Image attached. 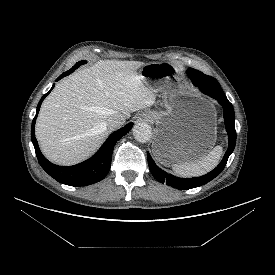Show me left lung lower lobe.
<instances>
[{
    "label": "left lung lower lobe",
    "mask_w": 275,
    "mask_h": 275,
    "mask_svg": "<svg viewBox=\"0 0 275 275\" xmlns=\"http://www.w3.org/2000/svg\"><path fill=\"white\" fill-rule=\"evenodd\" d=\"M193 84L204 94L216 99L223 107L225 127L228 133V149L220 164L206 175L194 178H178L161 170L153 161L150 154H147L149 169L154 178L162 184L174 187L176 189L187 190L204 185L217 177L224 169L230 154L233 152L236 144L235 114L232 104L228 101L222 90L215 88L214 78L204 75L202 72H187Z\"/></svg>",
    "instance_id": "0a47b994"
}]
</instances>
